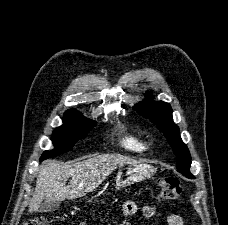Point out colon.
Segmentation results:
<instances>
[{
	"label": "colon",
	"mask_w": 228,
	"mask_h": 225,
	"mask_svg": "<svg viewBox=\"0 0 228 225\" xmlns=\"http://www.w3.org/2000/svg\"><path fill=\"white\" fill-rule=\"evenodd\" d=\"M160 198L163 201L175 200L182 194L181 183L176 178H164L160 183ZM46 221L40 217L33 218L26 222L25 225H46Z\"/></svg>",
	"instance_id": "1"
}]
</instances>
